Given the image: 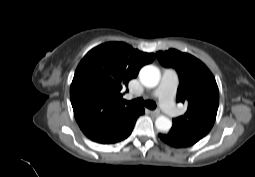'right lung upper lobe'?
I'll return each instance as SVG.
<instances>
[{
  "label": "right lung upper lobe",
  "mask_w": 255,
  "mask_h": 177,
  "mask_svg": "<svg viewBox=\"0 0 255 177\" xmlns=\"http://www.w3.org/2000/svg\"><path fill=\"white\" fill-rule=\"evenodd\" d=\"M155 59L123 42H109L90 50L79 63L70 87L74 116L88 133L116 115L130 110L121 89Z\"/></svg>",
  "instance_id": "right-lung-upper-lobe-1"
}]
</instances>
